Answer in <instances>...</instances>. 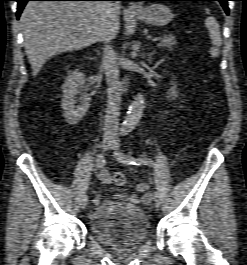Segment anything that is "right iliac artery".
Listing matches in <instances>:
<instances>
[{"label":"right iliac artery","instance_id":"1","mask_svg":"<svg viewBox=\"0 0 247 265\" xmlns=\"http://www.w3.org/2000/svg\"><path fill=\"white\" fill-rule=\"evenodd\" d=\"M105 164H106V160L104 158V155L103 154H99L97 156V159H96V166L98 168H103ZM99 202H100V200L98 198H94L92 200L93 205H98Z\"/></svg>","mask_w":247,"mask_h":265}]
</instances>
